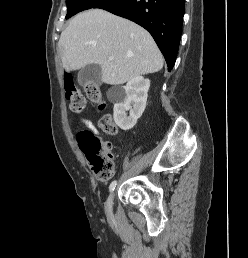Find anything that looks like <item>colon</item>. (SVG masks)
<instances>
[{"instance_id": "obj_1", "label": "colon", "mask_w": 248, "mask_h": 258, "mask_svg": "<svg viewBox=\"0 0 248 258\" xmlns=\"http://www.w3.org/2000/svg\"><path fill=\"white\" fill-rule=\"evenodd\" d=\"M86 94L92 102L104 106L101 90L97 84L88 83L86 85ZM66 96L70 101V107L73 112H83L85 108V98L80 88L70 79L67 80ZM99 124L100 128L105 133H117V125L110 115L103 116ZM76 141L96 177L102 181L110 180L115 175L112 145L104 141L96 132L89 129L78 132Z\"/></svg>"}]
</instances>
